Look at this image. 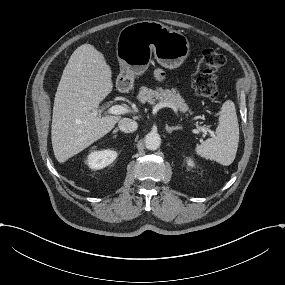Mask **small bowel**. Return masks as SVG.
<instances>
[{
  "mask_svg": "<svg viewBox=\"0 0 285 285\" xmlns=\"http://www.w3.org/2000/svg\"><path fill=\"white\" fill-rule=\"evenodd\" d=\"M155 77L158 79V80H162L164 78V74L162 72V70L158 69L156 70L155 72Z\"/></svg>",
  "mask_w": 285,
  "mask_h": 285,
  "instance_id": "obj_1",
  "label": "small bowel"
}]
</instances>
